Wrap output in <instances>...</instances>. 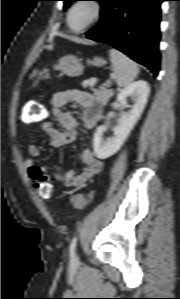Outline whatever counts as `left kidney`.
<instances>
[{
    "instance_id": "1",
    "label": "left kidney",
    "mask_w": 180,
    "mask_h": 299,
    "mask_svg": "<svg viewBox=\"0 0 180 299\" xmlns=\"http://www.w3.org/2000/svg\"><path fill=\"white\" fill-rule=\"evenodd\" d=\"M149 93L148 83L140 80L130 84L118 94L117 106L120 110L130 109L127 112L121 113L118 124L113 129L114 135L107 140L103 139V134L107 127L101 125L97 128L93 144L94 152L99 159H106L120 149L140 118L147 103ZM129 101L132 104H129Z\"/></svg>"
}]
</instances>
